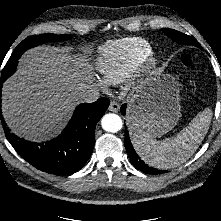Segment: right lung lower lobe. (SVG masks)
Instances as JSON below:
<instances>
[{"label":"right lung lower lobe","instance_id":"obj_1","mask_svg":"<svg viewBox=\"0 0 221 221\" xmlns=\"http://www.w3.org/2000/svg\"><path fill=\"white\" fill-rule=\"evenodd\" d=\"M21 53L19 51L18 55ZM3 82H0V103ZM109 104L108 98L80 104L62 134L46 143L24 141L7 129L5 135L17 153L37 169L55 175L73 174L90 158L95 144L96 124Z\"/></svg>","mask_w":221,"mask_h":221}]
</instances>
